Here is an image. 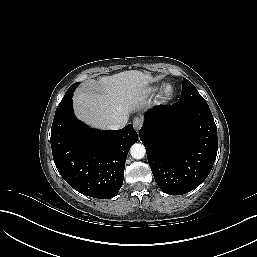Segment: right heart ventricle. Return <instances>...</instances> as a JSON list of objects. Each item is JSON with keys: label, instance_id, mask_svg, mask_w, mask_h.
I'll return each mask as SVG.
<instances>
[{"label": "right heart ventricle", "instance_id": "right-heart-ventricle-1", "mask_svg": "<svg viewBox=\"0 0 257 257\" xmlns=\"http://www.w3.org/2000/svg\"><path fill=\"white\" fill-rule=\"evenodd\" d=\"M158 90V87H152V88H150V89H148V93L149 94H152V93H154V92H156Z\"/></svg>", "mask_w": 257, "mask_h": 257}]
</instances>
